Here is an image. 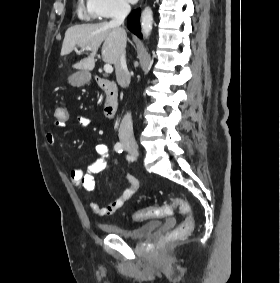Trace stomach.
I'll list each match as a JSON object with an SVG mask.
<instances>
[{
  "label": "stomach",
  "instance_id": "stomach-1",
  "mask_svg": "<svg viewBox=\"0 0 280 283\" xmlns=\"http://www.w3.org/2000/svg\"><path fill=\"white\" fill-rule=\"evenodd\" d=\"M89 80H90V75L87 71L76 72L68 78L69 83L74 86H82L88 83Z\"/></svg>",
  "mask_w": 280,
  "mask_h": 283
}]
</instances>
